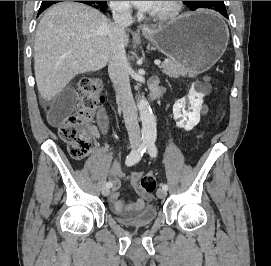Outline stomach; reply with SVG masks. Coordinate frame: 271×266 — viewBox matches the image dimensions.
<instances>
[{
    "mask_svg": "<svg viewBox=\"0 0 271 266\" xmlns=\"http://www.w3.org/2000/svg\"><path fill=\"white\" fill-rule=\"evenodd\" d=\"M157 49L180 62L189 75L211 68L225 52L229 32L215 13L199 11L184 14L144 33Z\"/></svg>",
    "mask_w": 271,
    "mask_h": 266,
    "instance_id": "stomach-1",
    "label": "stomach"
}]
</instances>
